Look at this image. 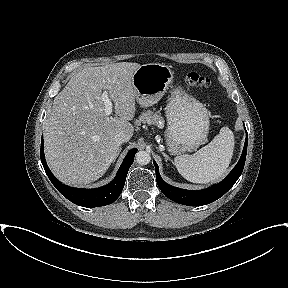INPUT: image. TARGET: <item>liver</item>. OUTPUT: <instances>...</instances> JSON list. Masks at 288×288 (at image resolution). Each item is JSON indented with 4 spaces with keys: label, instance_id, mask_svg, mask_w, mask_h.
Listing matches in <instances>:
<instances>
[{
    "label": "liver",
    "instance_id": "1",
    "mask_svg": "<svg viewBox=\"0 0 288 288\" xmlns=\"http://www.w3.org/2000/svg\"><path fill=\"white\" fill-rule=\"evenodd\" d=\"M138 63L86 67L74 74L54 98L45 120L46 160L57 179L68 185L89 184L102 177L116 159L120 144L133 136L136 93L132 75ZM114 102L115 117L105 114L101 94Z\"/></svg>",
    "mask_w": 288,
    "mask_h": 288
}]
</instances>
